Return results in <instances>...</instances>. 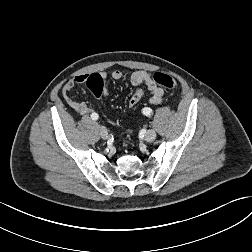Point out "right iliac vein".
<instances>
[{"label":"right iliac vein","mask_w":252,"mask_h":252,"mask_svg":"<svg viewBox=\"0 0 252 252\" xmlns=\"http://www.w3.org/2000/svg\"><path fill=\"white\" fill-rule=\"evenodd\" d=\"M100 135H101L102 139H104V140L108 139V137H109L108 131L104 127H101Z\"/></svg>","instance_id":"right-iliac-vein-1"}]
</instances>
